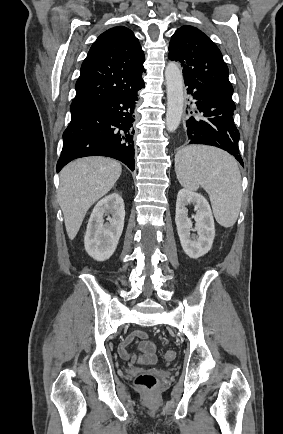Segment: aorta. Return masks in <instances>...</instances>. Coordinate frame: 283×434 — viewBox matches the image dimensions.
Returning <instances> with one entry per match:
<instances>
[{
  "mask_svg": "<svg viewBox=\"0 0 283 434\" xmlns=\"http://www.w3.org/2000/svg\"><path fill=\"white\" fill-rule=\"evenodd\" d=\"M167 87L166 128L174 132L181 121L184 106V80L179 65L169 62L165 69Z\"/></svg>",
  "mask_w": 283,
  "mask_h": 434,
  "instance_id": "1",
  "label": "aorta"
}]
</instances>
